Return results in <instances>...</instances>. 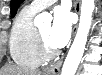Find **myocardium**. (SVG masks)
I'll use <instances>...</instances> for the list:
<instances>
[{
  "instance_id": "myocardium-1",
  "label": "myocardium",
  "mask_w": 102,
  "mask_h": 75,
  "mask_svg": "<svg viewBox=\"0 0 102 75\" xmlns=\"http://www.w3.org/2000/svg\"><path fill=\"white\" fill-rule=\"evenodd\" d=\"M36 43L38 56L41 61H48L56 56L57 51L55 49L49 48V46L44 41L40 30H37Z\"/></svg>"
}]
</instances>
